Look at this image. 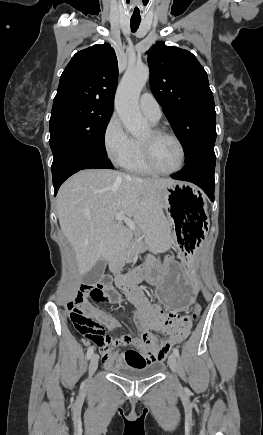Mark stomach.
<instances>
[{"label":"stomach","instance_id":"obj_1","mask_svg":"<svg viewBox=\"0 0 263 435\" xmlns=\"http://www.w3.org/2000/svg\"><path fill=\"white\" fill-rule=\"evenodd\" d=\"M162 204L174 233L178 256L163 258L162 264L151 263L145 270L143 282H150L155 298L165 310H189L196 296L200 280L193 277V262L197 247L202 246L206 233L210 232L211 216H207V205L197 187L177 181L162 191Z\"/></svg>","mask_w":263,"mask_h":435}]
</instances>
